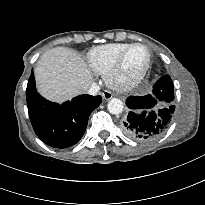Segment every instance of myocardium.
<instances>
[{
    "mask_svg": "<svg viewBox=\"0 0 205 205\" xmlns=\"http://www.w3.org/2000/svg\"><path fill=\"white\" fill-rule=\"evenodd\" d=\"M135 47H143L147 52V61L145 65L135 74L126 76L124 73V64L129 52ZM152 63V54L149 47L143 43H134L128 46L117 59L114 66L108 72V85L120 91H128L137 87L148 74Z\"/></svg>",
    "mask_w": 205,
    "mask_h": 205,
    "instance_id": "f54148a6",
    "label": "myocardium"
}]
</instances>
